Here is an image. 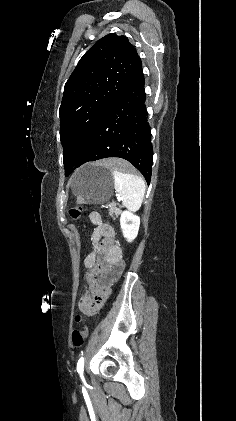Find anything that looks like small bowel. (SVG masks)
Segmentation results:
<instances>
[{"instance_id": "small-bowel-1", "label": "small bowel", "mask_w": 236, "mask_h": 421, "mask_svg": "<svg viewBox=\"0 0 236 421\" xmlns=\"http://www.w3.org/2000/svg\"><path fill=\"white\" fill-rule=\"evenodd\" d=\"M90 222L94 225V238H105L107 243L114 245L115 231L113 227L102 221L101 215L98 212H91L89 215ZM93 254L87 257L88 262H92ZM85 301L81 302V307H84Z\"/></svg>"}]
</instances>
